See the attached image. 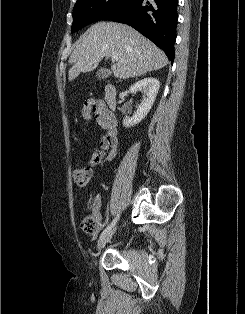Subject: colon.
I'll return each mask as SVG.
<instances>
[{
    "instance_id": "obj_1",
    "label": "colon",
    "mask_w": 245,
    "mask_h": 314,
    "mask_svg": "<svg viewBox=\"0 0 245 314\" xmlns=\"http://www.w3.org/2000/svg\"><path fill=\"white\" fill-rule=\"evenodd\" d=\"M92 177L91 168L82 165L73 171V181L79 189L88 187ZM100 221L97 214L85 215L81 220V228L86 232H94L99 228Z\"/></svg>"
}]
</instances>
